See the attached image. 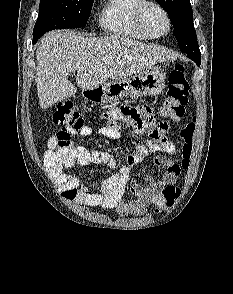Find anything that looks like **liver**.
I'll list each match as a JSON object with an SVG mask.
<instances>
[{
    "label": "liver",
    "instance_id": "6515ba94",
    "mask_svg": "<svg viewBox=\"0 0 233 294\" xmlns=\"http://www.w3.org/2000/svg\"><path fill=\"white\" fill-rule=\"evenodd\" d=\"M173 58L158 45L120 36L95 38L69 30L49 32L36 50L39 105L46 109L75 95L77 87L68 79L71 72L77 71L80 89L94 90L108 79L128 78Z\"/></svg>",
    "mask_w": 233,
    "mask_h": 294
}]
</instances>
